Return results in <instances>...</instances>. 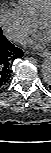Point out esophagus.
Masks as SVG:
<instances>
[{
	"label": "esophagus",
	"mask_w": 51,
	"mask_h": 153,
	"mask_svg": "<svg viewBox=\"0 0 51 153\" xmlns=\"http://www.w3.org/2000/svg\"><path fill=\"white\" fill-rule=\"evenodd\" d=\"M47 55H48L47 52H43V53H42V56H47Z\"/></svg>",
	"instance_id": "1"
}]
</instances>
